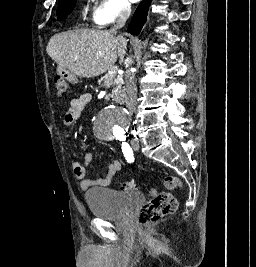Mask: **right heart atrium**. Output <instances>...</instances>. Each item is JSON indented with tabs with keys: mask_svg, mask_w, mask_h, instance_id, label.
Instances as JSON below:
<instances>
[{
	"mask_svg": "<svg viewBox=\"0 0 256 267\" xmlns=\"http://www.w3.org/2000/svg\"><path fill=\"white\" fill-rule=\"evenodd\" d=\"M124 13L119 12L114 16H104L99 11L93 14V21L98 28H106L115 23L118 19L123 18Z\"/></svg>",
	"mask_w": 256,
	"mask_h": 267,
	"instance_id": "right-heart-atrium-1",
	"label": "right heart atrium"
}]
</instances>
